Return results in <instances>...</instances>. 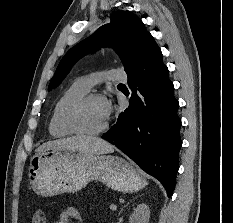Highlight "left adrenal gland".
Segmentation results:
<instances>
[{"label": "left adrenal gland", "mask_w": 233, "mask_h": 223, "mask_svg": "<svg viewBox=\"0 0 233 223\" xmlns=\"http://www.w3.org/2000/svg\"><path fill=\"white\" fill-rule=\"evenodd\" d=\"M127 205H129V201H128V203H126V205H123V207H127ZM123 207H121V209H120V211H119L118 215H120V213H121V211H122Z\"/></svg>", "instance_id": "left-adrenal-gland-1"}]
</instances>
